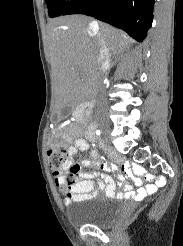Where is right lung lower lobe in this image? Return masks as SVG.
Listing matches in <instances>:
<instances>
[{"label": "right lung lower lobe", "mask_w": 183, "mask_h": 246, "mask_svg": "<svg viewBox=\"0 0 183 246\" xmlns=\"http://www.w3.org/2000/svg\"><path fill=\"white\" fill-rule=\"evenodd\" d=\"M154 3L155 0H77L63 15L92 16L142 42L152 25Z\"/></svg>", "instance_id": "98d812e1"}]
</instances>
